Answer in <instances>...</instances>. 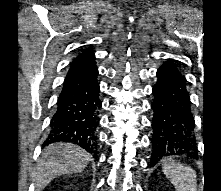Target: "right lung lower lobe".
Masks as SVG:
<instances>
[{
    "instance_id": "right-lung-lower-lobe-1",
    "label": "right lung lower lobe",
    "mask_w": 221,
    "mask_h": 191,
    "mask_svg": "<svg viewBox=\"0 0 221 191\" xmlns=\"http://www.w3.org/2000/svg\"><path fill=\"white\" fill-rule=\"evenodd\" d=\"M97 75L93 52L82 53L73 60L58 97L44 145L72 142L96 157V129L102 106Z\"/></svg>"
}]
</instances>
